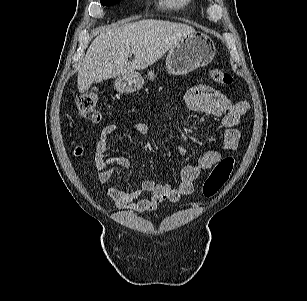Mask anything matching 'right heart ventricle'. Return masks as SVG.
I'll return each instance as SVG.
<instances>
[{"label": "right heart ventricle", "instance_id": "1", "mask_svg": "<svg viewBox=\"0 0 307 301\" xmlns=\"http://www.w3.org/2000/svg\"><path fill=\"white\" fill-rule=\"evenodd\" d=\"M191 0H164L166 6L170 8H179L190 4Z\"/></svg>", "mask_w": 307, "mask_h": 301}]
</instances>
